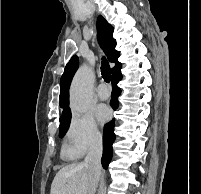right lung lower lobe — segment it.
Returning <instances> with one entry per match:
<instances>
[{
  "mask_svg": "<svg viewBox=\"0 0 201 194\" xmlns=\"http://www.w3.org/2000/svg\"><path fill=\"white\" fill-rule=\"evenodd\" d=\"M122 79V75L120 70L112 74V94H111V107L116 110L118 108V96L121 93V89L117 86V83ZM114 126L115 120L113 119L109 123L104 126V133H103V156L101 159V163L104 169H107L108 164L112 158V144L115 140L114 134Z\"/></svg>",
  "mask_w": 201,
  "mask_h": 194,
  "instance_id": "1",
  "label": "right lung lower lobe"
}]
</instances>
